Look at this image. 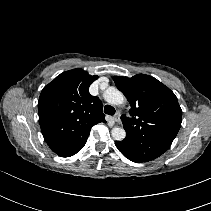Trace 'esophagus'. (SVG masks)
Instances as JSON below:
<instances>
[{
  "instance_id": "1",
  "label": "esophagus",
  "mask_w": 211,
  "mask_h": 211,
  "mask_svg": "<svg viewBox=\"0 0 211 211\" xmlns=\"http://www.w3.org/2000/svg\"><path fill=\"white\" fill-rule=\"evenodd\" d=\"M120 116H121V113L120 112H117L114 117H113V120L116 122V123H119L120 122Z\"/></svg>"
}]
</instances>
